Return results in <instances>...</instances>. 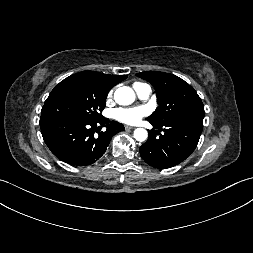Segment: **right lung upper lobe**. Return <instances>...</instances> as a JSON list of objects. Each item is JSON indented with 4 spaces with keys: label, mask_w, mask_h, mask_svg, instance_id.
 I'll return each mask as SVG.
<instances>
[{
    "label": "right lung upper lobe",
    "mask_w": 253,
    "mask_h": 253,
    "mask_svg": "<svg viewBox=\"0 0 253 253\" xmlns=\"http://www.w3.org/2000/svg\"><path fill=\"white\" fill-rule=\"evenodd\" d=\"M84 73L94 78L97 82L109 90L127 78V75H108L95 71H84Z\"/></svg>",
    "instance_id": "cb5924a9"
}]
</instances>
